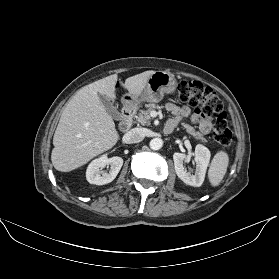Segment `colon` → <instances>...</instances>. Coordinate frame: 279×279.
I'll list each match as a JSON object with an SVG mask.
<instances>
[{
    "label": "colon",
    "instance_id": "1",
    "mask_svg": "<svg viewBox=\"0 0 279 279\" xmlns=\"http://www.w3.org/2000/svg\"><path fill=\"white\" fill-rule=\"evenodd\" d=\"M181 102L195 108L201 118H214L213 138L225 148L232 143V132L227 124V114L218 95L199 81H182L177 88Z\"/></svg>",
    "mask_w": 279,
    "mask_h": 279
}]
</instances>
